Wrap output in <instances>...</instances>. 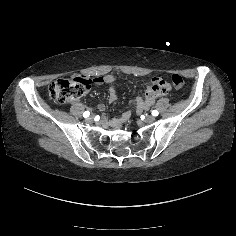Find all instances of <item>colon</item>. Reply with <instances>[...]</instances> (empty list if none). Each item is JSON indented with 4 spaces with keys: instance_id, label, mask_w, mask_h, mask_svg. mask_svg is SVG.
Instances as JSON below:
<instances>
[{
    "instance_id": "colon-1",
    "label": "colon",
    "mask_w": 236,
    "mask_h": 236,
    "mask_svg": "<svg viewBox=\"0 0 236 236\" xmlns=\"http://www.w3.org/2000/svg\"><path fill=\"white\" fill-rule=\"evenodd\" d=\"M174 87L178 90L184 88V79L178 74L171 77ZM91 79L86 76L62 78L49 86V98L52 102L63 104L84 95L91 86Z\"/></svg>"
}]
</instances>
